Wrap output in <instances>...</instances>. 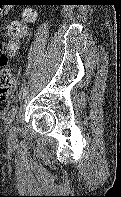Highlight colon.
Wrapping results in <instances>:
<instances>
[{
	"mask_svg": "<svg viewBox=\"0 0 121 197\" xmlns=\"http://www.w3.org/2000/svg\"><path fill=\"white\" fill-rule=\"evenodd\" d=\"M35 19L31 8H24L20 20L12 21L6 32V41L0 50V101H5L13 92L14 78L10 69V58L17 52L27 34L28 24Z\"/></svg>",
	"mask_w": 121,
	"mask_h": 197,
	"instance_id": "colon-1",
	"label": "colon"
}]
</instances>
